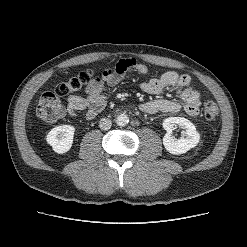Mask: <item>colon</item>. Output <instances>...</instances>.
Here are the masks:
<instances>
[{"label":"colon","mask_w":247,"mask_h":247,"mask_svg":"<svg viewBox=\"0 0 247 247\" xmlns=\"http://www.w3.org/2000/svg\"><path fill=\"white\" fill-rule=\"evenodd\" d=\"M124 67V65L120 66L121 69ZM95 74L96 71L93 69L83 71L60 83L55 92L42 94L36 108L37 116L47 123L55 122L61 118L64 115V107L59 96L80 93L93 81ZM203 114L208 121L216 120L219 116L218 106L213 101H207Z\"/></svg>","instance_id":"1"}]
</instances>
